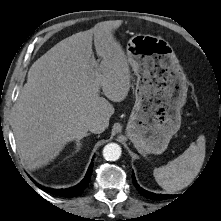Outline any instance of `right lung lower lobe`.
I'll use <instances>...</instances> for the list:
<instances>
[{
  "label": "right lung lower lobe",
  "mask_w": 221,
  "mask_h": 221,
  "mask_svg": "<svg viewBox=\"0 0 221 221\" xmlns=\"http://www.w3.org/2000/svg\"><path fill=\"white\" fill-rule=\"evenodd\" d=\"M92 169H93V162L90 164L85 178L78 185H76L74 187L67 188V189H56V190L45 188L40 185H38V187L41 188L42 190H44L45 192H49V193H52L57 196L75 197V196L79 195L88 186V183H89L90 177H91V173H92Z\"/></svg>",
  "instance_id": "1"
}]
</instances>
